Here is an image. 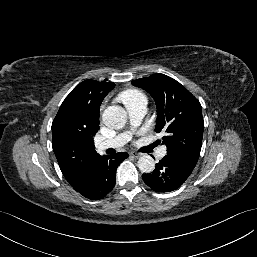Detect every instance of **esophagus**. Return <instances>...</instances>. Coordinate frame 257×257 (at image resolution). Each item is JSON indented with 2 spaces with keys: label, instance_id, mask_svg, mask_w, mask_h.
<instances>
[{
  "label": "esophagus",
  "instance_id": "1",
  "mask_svg": "<svg viewBox=\"0 0 257 257\" xmlns=\"http://www.w3.org/2000/svg\"><path fill=\"white\" fill-rule=\"evenodd\" d=\"M130 155H131L132 157H134V158H139L142 154H141V153H138V152L132 151V152H130Z\"/></svg>",
  "mask_w": 257,
  "mask_h": 257
}]
</instances>
